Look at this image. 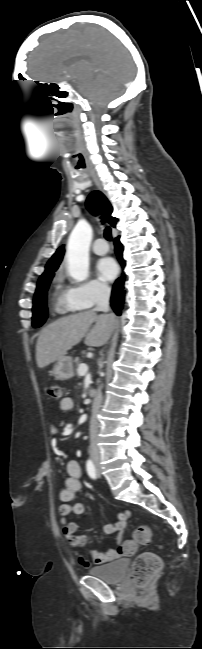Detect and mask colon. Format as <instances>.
<instances>
[{"instance_id": "1", "label": "colon", "mask_w": 202, "mask_h": 649, "mask_svg": "<svg viewBox=\"0 0 202 649\" xmlns=\"http://www.w3.org/2000/svg\"><path fill=\"white\" fill-rule=\"evenodd\" d=\"M45 394L50 399L58 400L62 397V390L59 385L50 384L45 387ZM150 539V527L146 524L138 526L133 532L132 539L123 543V554H133L138 544H147ZM161 569L162 561L159 556L151 552L143 553L134 561L131 580L138 587L145 586L161 571Z\"/></svg>"}]
</instances>
